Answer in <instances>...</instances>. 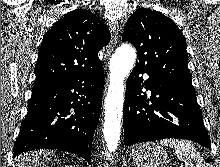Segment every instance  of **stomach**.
I'll return each instance as SVG.
<instances>
[{
  "mask_svg": "<svg viewBox=\"0 0 220 167\" xmlns=\"http://www.w3.org/2000/svg\"><path fill=\"white\" fill-rule=\"evenodd\" d=\"M134 167H164L168 160L166 150L155 143L136 145L129 154Z\"/></svg>",
  "mask_w": 220,
  "mask_h": 167,
  "instance_id": "0dacf381",
  "label": "stomach"
}]
</instances>
